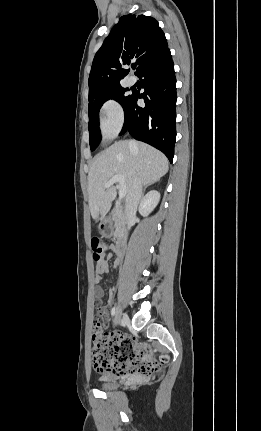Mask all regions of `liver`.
<instances>
[{"label": "liver", "instance_id": "obj_1", "mask_svg": "<svg viewBox=\"0 0 261 431\" xmlns=\"http://www.w3.org/2000/svg\"><path fill=\"white\" fill-rule=\"evenodd\" d=\"M168 171V160L157 149L134 140L119 141L98 154L88 174V202L94 220H103L116 197V187L104 185L115 175L124 177L127 193L136 178L143 185L156 182Z\"/></svg>", "mask_w": 261, "mask_h": 431}]
</instances>
